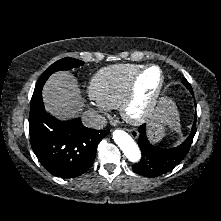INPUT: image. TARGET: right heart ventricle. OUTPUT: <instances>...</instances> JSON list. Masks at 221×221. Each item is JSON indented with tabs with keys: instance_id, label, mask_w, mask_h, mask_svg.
Listing matches in <instances>:
<instances>
[{
	"instance_id": "right-heart-ventricle-1",
	"label": "right heart ventricle",
	"mask_w": 221,
	"mask_h": 221,
	"mask_svg": "<svg viewBox=\"0 0 221 221\" xmlns=\"http://www.w3.org/2000/svg\"><path fill=\"white\" fill-rule=\"evenodd\" d=\"M142 67L136 64H118L99 70L89 82V96L109 108L119 107L131 78Z\"/></svg>"
}]
</instances>
